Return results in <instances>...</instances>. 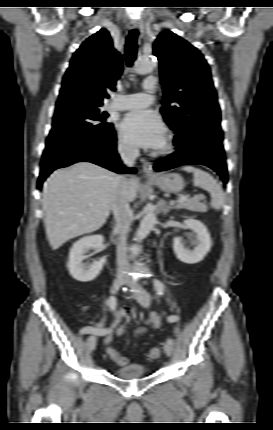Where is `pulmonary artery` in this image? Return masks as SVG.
Listing matches in <instances>:
<instances>
[{"instance_id":"1","label":"pulmonary artery","mask_w":273,"mask_h":430,"mask_svg":"<svg viewBox=\"0 0 273 430\" xmlns=\"http://www.w3.org/2000/svg\"><path fill=\"white\" fill-rule=\"evenodd\" d=\"M156 90V79L147 78L144 82V92L117 97L111 102L110 107L117 110L146 108L153 102Z\"/></svg>"}]
</instances>
